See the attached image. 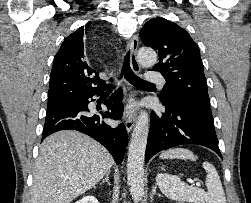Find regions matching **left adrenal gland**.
<instances>
[{
	"label": "left adrenal gland",
	"mask_w": 251,
	"mask_h": 203,
	"mask_svg": "<svg viewBox=\"0 0 251 203\" xmlns=\"http://www.w3.org/2000/svg\"><path fill=\"white\" fill-rule=\"evenodd\" d=\"M156 188H157V186L155 185V186L153 187V189H152V193H151L150 198H152V197H153V195H155V194H156ZM158 196H160V194H158Z\"/></svg>",
	"instance_id": "obj_1"
}]
</instances>
